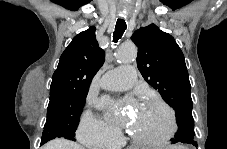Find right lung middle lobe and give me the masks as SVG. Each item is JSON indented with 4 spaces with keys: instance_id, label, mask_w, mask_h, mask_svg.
<instances>
[{
    "instance_id": "dd1d6c3e",
    "label": "right lung middle lobe",
    "mask_w": 227,
    "mask_h": 149,
    "mask_svg": "<svg viewBox=\"0 0 227 149\" xmlns=\"http://www.w3.org/2000/svg\"><path fill=\"white\" fill-rule=\"evenodd\" d=\"M86 96L87 93L50 94L42 139L46 136L74 137Z\"/></svg>"
}]
</instances>
